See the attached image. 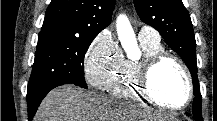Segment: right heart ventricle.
Masks as SVG:
<instances>
[{
	"mask_svg": "<svg viewBox=\"0 0 217 121\" xmlns=\"http://www.w3.org/2000/svg\"><path fill=\"white\" fill-rule=\"evenodd\" d=\"M140 43L144 52V58L164 52L163 46L160 42L153 43L140 40ZM139 62L140 61L123 60L116 76L107 86V89L112 96L121 99H136L141 96L137 83Z\"/></svg>",
	"mask_w": 217,
	"mask_h": 121,
	"instance_id": "e07e8e85",
	"label": "right heart ventricle"
}]
</instances>
